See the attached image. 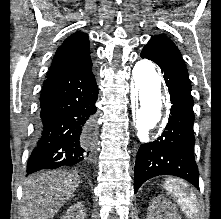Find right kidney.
<instances>
[{
  "mask_svg": "<svg viewBox=\"0 0 221 219\" xmlns=\"http://www.w3.org/2000/svg\"><path fill=\"white\" fill-rule=\"evenodd\" d=\"M61 219H85L84 206L81 202L70 206Z\"/></svg>",
  "mask_w": 221,
  "mask_h": 219,
  "instance_id": "right-kidney-1",
  "label": "right kidney"
}]
</instances>
